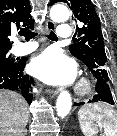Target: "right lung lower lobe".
I'll return each instance as SVG.
<instances>
[{"mask_svg":"<svg viewBox=\"0 0 117 136\" xmlns=\"http://www.w3.org/2000/svg\"><path fill=\"white\" fill-rule=\"evenodd\" d=\"M26 59L14 62L11 65L0 64V89L20 91L26 101H32L31 85L32 77L24 73Z\"/></svg>","mask_w":117,"mask_h":136,"instance_id":"1","label":"right lung lower lobe"}]
</instances>
